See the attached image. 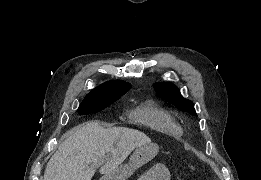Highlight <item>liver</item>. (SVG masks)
I'll list each match as a JSON object with an SVG mask.
<instances>
[{
    "mask_svg": "<svg viewBox=\"0 0 261 180\" xmlns=\"http://www.w3.org/2000/svg\"><path fill=\"white\" fill-rule=\"evenodd\" d=\"M151 140L129 128H103L100 122L76 126L57 152L50 158L44 180H92L97 168L100 174H110L118 168L135 148Z\"/></svg>",
    "mask_w": 261,
    "mask_h": 180,
    "instance_id": "obj_1",
    "label": "liver"
}]
</instances>
